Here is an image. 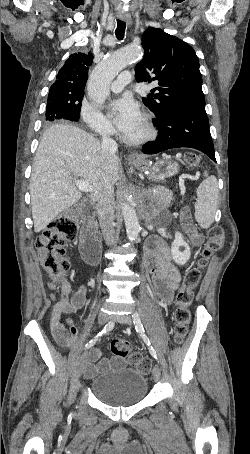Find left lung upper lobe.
<instances>
[{"mask_svg": "<svg viewBox=\"0 0 250 454\" xmlns=\"http://www.w3.org/2000/svg\"><path fill=\"white\" fill-rule=\"evenodd\" d=\"M142 46L145 55L135 68V76L138 81L157 83L142 99L156 115L153 123L178 109L205 107L199 60L189 44L149 27L142 35Z\"/></svg>", "mask_w": 250, "mask_h": 454, "instance_id": "5c2ea615", "label": "left lung upper lobe"}]
</instances>
